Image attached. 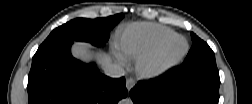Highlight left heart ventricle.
<instances>
[{"label":"left heart ventricle","instance_id":"obj_1","mask_svg":"<svg viewBox=\"0 0 252 104\" xmlns=\"http://www.w3.org/2000/svg\"><path fill=\"white\" fill-rule=\"evenodd\" d=\"M184 47V42L181 39H176L172 42L167 50L169 56L179 53Z\"/></svg>","mask_w":252,"mask_h":104}]
</instances>
